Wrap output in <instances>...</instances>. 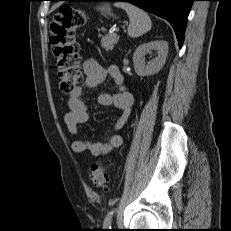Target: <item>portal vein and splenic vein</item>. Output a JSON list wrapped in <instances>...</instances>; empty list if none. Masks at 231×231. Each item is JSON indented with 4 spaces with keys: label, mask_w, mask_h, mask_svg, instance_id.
Returning a JSON list of instances; mask_svg holds the SVG:
<instances>
[{
    "label": "portal vein and splenic vein",
    "mask_w": 231,
    "mask_h": 231,
    "mask_svg": "<svg viewBox=\"0 0 231 231\" xmlns=\"http://www.w3.org/2000/svg\"><path fill=\"white\" fill-rule=\"evenodd\" d=\"M116 32H118L119 31V28H116V30H115Z\"/></svg>",
    "instance_id": "1"
}]
</instances>
